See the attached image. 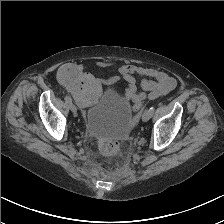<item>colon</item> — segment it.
Returning <instances> with one entry per match:
<instances>
[{"label": "colon", "mask_w": 224, "mask_h": 224, "mask_svg": "<svg viewBox=\"0 0 224 224\" xmlns=\"http://www.w3.org/2000/svg\"><path fill=\"white\" fill-rule=\"evenodd\" d=\"M60 76L70 94L81 106L91 105L98 98V91L92 85V77L83 69L68 65L60 71ZM139 107V105L137 106ZM98 150L105 156H115L121 152V144L112 138H104L97 143Z\"/></svg>", "instance_id": "colon-1"}]
</instances>
